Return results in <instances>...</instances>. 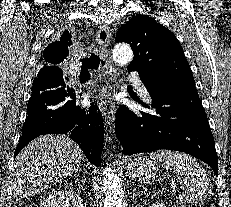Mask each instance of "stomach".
I'll return each mask as SVG.
<instances>
[{
  "label": "stomach",
  "instance_id": "obj_1",
  "mask_svg": "<svg viewBox=\"0 0 231 207\" xmlns=\"http://www.w3.org/2000/svg\"><path fill=\"white\" fill-rule=\"evenodd\" d=\"M127 174L133 180L148 182L155 177L156 165L147 157L131 158L127 162Z\"/></svg>",
  "mask_w": 231,
  "mask_h": 207
}]
</instances>
